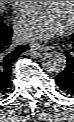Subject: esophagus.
<instances>
[{
    "instance_id": "obj_1",
    "label": "esophagus",
    "mask_w": 74,
    "mask_h": 122,
    "mask_svg": "<svg viewBox=\"0 0 74 122\" xmlns=\"http://www.w3.org/2000/svg\"><path fill=\"white\" fill-rule=\"evenodd\" d=\"M48 49H49L48 46H45V45H42V44H39V43H31L30 44V50L32 52L45 51V50H48Z\"/></svg>"
}]
</instances>
